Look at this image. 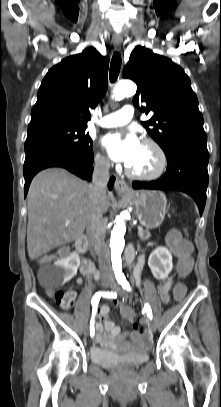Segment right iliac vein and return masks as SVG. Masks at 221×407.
<instances>
[{
    "label": "right iliac vein",
    "mask_w": 221,
    "mask_h": 407,
    "mask_svg": "<svg viewBox=\"0 0 221 407\" xmlns=\"http://www.w3.org/2000/svg\"><path fill=\"white\" fill-rule=\"evenodd\" d=\"M109 286H110V284L107 283V282L102 283V287H103L104 289L108 288ZM84 335H85V336H88V335H89V329H88V327H85V329H84Z\"/></svg>",
    "instance_id": "63e3f726"
}]
</instances>
